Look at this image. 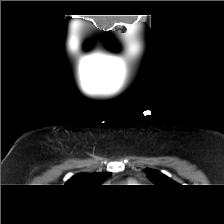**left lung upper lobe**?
<instances>
[{"label":"left lung upper lobe","instance_id":"1","mask_svg":"<svg viewBox=\"0 0 224 224\" xmlns=\"http://www.w3.org/2000/svg\"><path fill=\"white\" fill-rule=\"evenodd\" d=\"M146 174L149 179L157 186H170L173 184H177L166 175L154 169L147 168Z\"/></svg>","mask_w":224,"mask_h":224}]
</instances>
